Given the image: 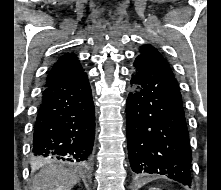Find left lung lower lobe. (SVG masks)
<instances>
[{
  "mask_svg": "<svg viewBox=\"0 0 221 190\" xmlns=\"http://www.w3.org/2000/svg\"><path fill=\"white\" fill-rule=\"evenodd\" d=\"M126 102L128 156L135 173L165 175L191 186V148L173 73L138 56Z\"/></svg>",
  "mask_w": 221,
  "mask_h": 190,
  "instance_id": "obj_1",
  "label": "left lung lower lobe"
}]
</instances>
